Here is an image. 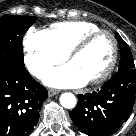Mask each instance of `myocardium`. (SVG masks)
I'll return each mask as SVG.
<instances>
[{
  "label": "myocardium",
  "instance_id": "myocardium-1",
  "mask_svg": "<svg viewBox=\"0 0 136 136\" xmlns=\"http://www.w3.org/2000/svg\"><path fill=\"white\" fill-rule=\"evenodd\" d=\"M101 35H108L112 40V45H113L112 58L107 68L100 75L87 81L89 84H92V85L100 84L104 82L105 80H107L110 77V75L113 73L116 67L118 56H119V45L114 33L105 29H100V30L91 32L85 35L84 37H82L67 54V59L71 61L75 56L83 52L94 39H96L97 37Z\"/></svg>",
  "mask_w": 136,
  "mask_h": 136
}]
</instances>
